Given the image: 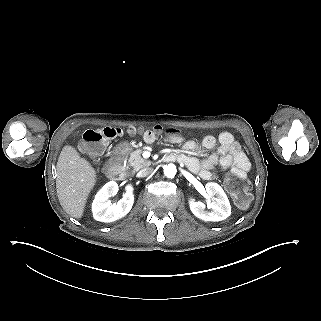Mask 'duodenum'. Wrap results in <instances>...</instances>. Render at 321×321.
<instances>
[{
    "mask_svg": "<svg viewBox=\"0 0 321 321\" xmlns=\"http://www.w3.org/2000/svg\"><path fill=\"white\" fill-rule=\"evenodd\" d=\"M180 161L181 157L174 153L165 154L163 157L164 162ZM105 172L112 180H121L124 177V167L122 159L119 155L113 156L105 166Z\"/></svg>",
    "mask_w": 321,
    "mask_h": 321,
    "instance_id": "obj_1",
    "label": "duodenum"
}]
</instances>
